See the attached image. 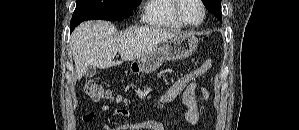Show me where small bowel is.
Returning a JSON list of instances; mask_svg holds the SVG:
<instances>
[{"mask_svg":"<svg viewBox=\"0 0 299 130\" xmlns=\"http://www.w3.org/2000/svg\"><path fill=\"white\" fill-rule=\"evenodd\" d=\"M200 91L205 99H208L209 93L206 88L200 86L199 84H194L187 88L185 92L182 95V103L185 109V118L187 122L194 126L199 128L200 125V115L197 110V92ZM96 111L104 112V113H110L111 107L107 104L99 106ZM112 115H119V116H127L128 112L124 109H116L112 111ZM95 118V111H89L86 114L82 116V121L84 123H90ZM106 130H165L163 126L154 120H146V121H140V122H130V123H124L122 125L116 126V127H105Z\"/></svg>","mask_w":299,"mask_h":130,"instance_id":"obj_1","label":"small bowel"}]
</instances>
